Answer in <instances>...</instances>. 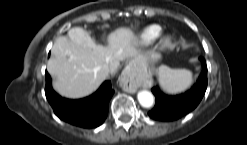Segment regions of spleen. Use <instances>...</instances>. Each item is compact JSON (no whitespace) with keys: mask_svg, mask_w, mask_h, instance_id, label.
Returning <instances> with one entry per match:
<instances>
[{"mask_svg":"<svg viewBox=\"0 0 247 145\" xmlns=\"http://www.w3.org/2000/svg\"><path fill=\"white\" fill-rule=\"evenodd\" d=\"M158 79L162 89L170 94L183 92L193 84V74L186 69H172L161 65L158 69Z\"/></svg>","mask_w":247,"mask_h":145,"instance_id":"3e777b00","label":"spleen"}]
</instances>
